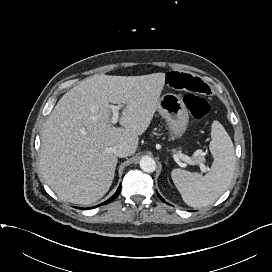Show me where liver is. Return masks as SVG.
<instances>
[{
    "label": "liver",
    "mask_w": 272,
    "mask_h": 272,
    "mask_svg": "<svg viewBox=\"0 0 272 272\" xmlns=\"http://www.w3.org/2000/svg\"><path fill=\"white\" fill-rule=\"evenodd\" d=\"M165 73L142 76L94 75L66 92L44 123L41 173L61 200L90 205L109 190L117 156L112 148L126 144L129 155L158 108ZM109 103L123 104L112 125Z\"/></svg>",
    "instance_id": "liver-1"
}]
</instances>
